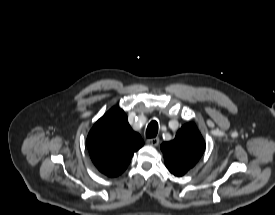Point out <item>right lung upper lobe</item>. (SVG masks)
<instances>
[{
    "label": "right lung upper lobe",
    "instance_id": "1",
    "mask_svg": "<svg viewBox=\"0 0 275 215\" xmlns=\"http://www.w3.org/2000/svg\"><path fill=\"white\" fill-rule=\"evenodd\" d=\"M143 145L141 136L132 130L124 111L117 107L104 114L87 137L93 163L108 177H116L124 172L134 152Z\"/></svg>",
    "mask_w": 275,
    "mask_h": 215
}]
</instances>
